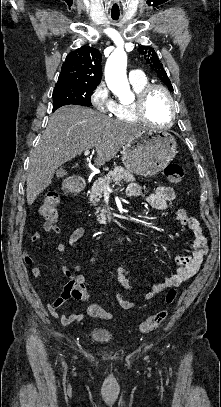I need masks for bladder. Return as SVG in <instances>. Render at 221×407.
Listing matches in <instances>:
<instances>
[{"instance_id": "1", "label": "bladder", "mask_w": 221, "mask_h": 407, "mask_svg": "<svg viewBox=\"0 0 221 407\" xmlns=\"http://www.w3.org/2000/svg\"><path fill=\"white\" fill-rule=\"evenodd\" d=\"M89 338L101 343H110L113 340V334L107 328L94 327L89 332Z\"/></svg>"}]
</instances>
